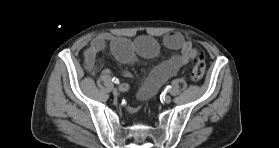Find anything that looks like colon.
<instances>
[{"label": "colon", "instance_id": "5ec220e1", "mask_svg": "<svg viewBox=\"0 0 279 148\" xmlns=\"http://www.w3.org/2000/svg\"><path fill=\"white\" fill-rule=\"evenodd\" d=\"M205 70H206V63H205L204 55L202 53H199L194 60V65L191 71V80L193 82L201 81L202 78L204 77Z\"/></svg>", "mask_w": 279, "mask_h": 148}]
</instances>
